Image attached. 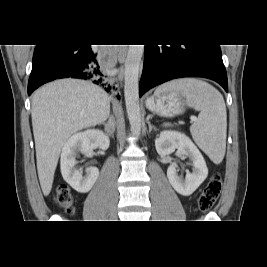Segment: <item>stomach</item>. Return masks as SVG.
Segmentation results:
<instances>
[{
	"instance_id": "stomach-1",
	"label": "stomach",
	"mask_w": 267,
	"mask_h": 267,
	"mask_svg": "<svg viewBox=\"0 0 267 267\" xmlns=\"http://www.w3.org/2000/svg\"><path fill=\"white\" fill-rule=\"evenodd\" d=\"M149 111L165 118L174 117L184 111V104L180 95L176 92H164L156 94L146 100Z\"/></svg>"
}]
</instances>
